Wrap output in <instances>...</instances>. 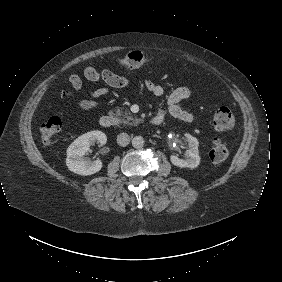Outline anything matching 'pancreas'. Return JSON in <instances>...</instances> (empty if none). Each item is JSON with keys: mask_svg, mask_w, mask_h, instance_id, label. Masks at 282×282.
Wrapping results in <instances>:
<instances>
[{"mask_svg": "<svg viewBox=\"0 0 282 282\" xmlns=\"http://www.w3.org/2000/svg\"><path fill=\"white\" fill-rule=\"evenodd\" d=\"M128 109L129 107L127 106L117 108L115 116L119 118L121 125L140 124L143 122L142 119L134 117L130 111H127Z\"/></svg>", "mask_w": 282, "mask_h": 282, "instance_id": "obj_1", "label": "pancreas"}]
</instances>
